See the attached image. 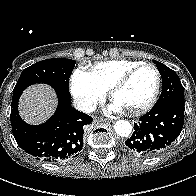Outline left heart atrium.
I'll return each instance as SVG.
<instances>
[{
	"label": "left heart atrium",
	"mask_w": 196,
	"mask_h": 196,
	"mask_svg": "<svg viewBox=\"0 0 196 196\" xmlns=\"http://www.w3.org/2000/svg\"><path fill=\"white\" fill-rule=\"evenodd\" d=\"M109 109L111 111H113V112H121V111L124 110V108L120 104H118L117 102H115L114 100L111 103V105L109 106Z\"/></svg>",
	"instance_id": "obj_1"
}]
</instances>
